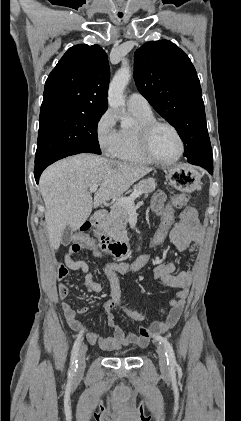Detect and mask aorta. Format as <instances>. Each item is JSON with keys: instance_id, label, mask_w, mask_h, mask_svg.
I'll list each match as a JSON object with an SVG mask.
<instances>
[{"instance_id": "obj_1", "label": "aorta", "mask_w": 241, "mask_h": 421, "mask_svg": "<svg viewBox=\"0 0 241 421\" xmlns=\"http://www.w3.org/2000/svg\"><path fill=\"white\" fill-rule=\"evenodd\" d=\"M131 78V71L126 63H123L122 67L114 75L108 91V104L114 109L118 110L121 108L125 101L123 97L124 89L127 86ZM129 124V119L124 118L121 120V125L126 126Z\"/></svg>"}]
</instances>
